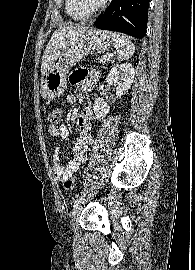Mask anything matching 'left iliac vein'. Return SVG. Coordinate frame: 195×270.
<instances>
[{"label": "left iliac vein", "mask_w": 195, "mask_h": 270, "mask_svg": "<svg viewBox=\"0 0 195 270\" xmlns=\"http://www.w3.org/2000/svg\"><path fill=\"white\" fill-rule=\"evenodd\" d=\"M81 212V204H79L78 206L75 207L74 211H73V215H72V226L73 229H75L78 217L80 215Z\"/></svg>", "instance_id": "4c4485c4"}]
</instances>
